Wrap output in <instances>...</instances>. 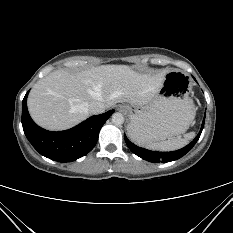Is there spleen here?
<instances>
[{"instance_id":"1","label":"spleen","mask_w":233,"mask_h":233,"mask_svg":"<svg viewBox=\"0 0 233 233\" xmlns=\"http://www.w3.org/2000/svg\"><path fill=\"white\" fill-rule=\"evenodd\" d=\"M128 135L133 141L140 144L139 141L136 139L135 135H133L132 133H128ZM194 137H195V133L194 132H189V133H186L184 135V138L177 137V138L168 139V140L161 141V142L146 144L144 146L149 148V149H153V150L173 151V150H177V149H180V148L184 147Z\"/></svg>"}]
</instances>
